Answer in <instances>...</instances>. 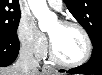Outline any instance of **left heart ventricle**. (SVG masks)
Returning <instances> with one entry per match:
<instances>
[{
    "label": "left heart ventricle",
    "mask_w": 102,
    "mask_h": 75,
    "mask_svg": "<svg viewBox=\"0 0 102 75\" xmlns=\"http://www.w3.org/2000/svg\"><path fill=\"white\" fill-rule=\"evenodd\" d=\"M57 55L66 62L79 60L85 53V40L75 27H65L59 22L48 31Z\"/></svg>",
    "instance_id": "b2bd125f"
}]
</instances>
